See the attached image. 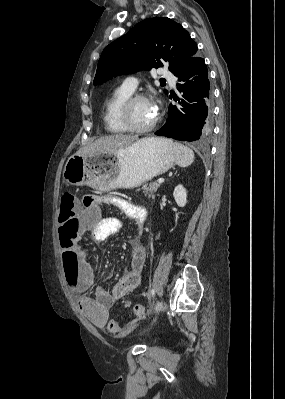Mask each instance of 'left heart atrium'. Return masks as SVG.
Wrapping results in <instances>:
<instances>
[{
  "label": "left heart atrium",
  "instance_id": "1",
  "mask_svg": "<svg viewBox=\"0 0 285 399\" xmlns=\"http://www.w3.org/2000/svg\"><path fill=\"white\" fill-rule=\"evenodd\" d=\"M153 105V108H154V110L156 111V107H155V105L154 104H152Z\"/></svg>",
  "mask_w": 285,
  "mask_h": 399
}]
</instances>
